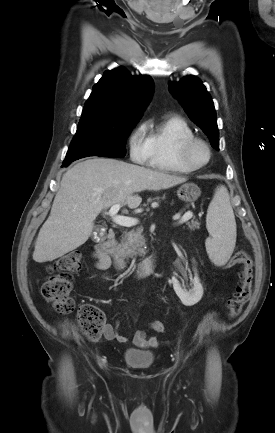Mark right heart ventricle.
<instances>
[{
    "label": "right heart ventricle",
    "instance_id": "right-heart-ventricle-1",
    "mask_svg": "<svg viewBox=\"0 0 275 433\" xmlns=\"http://www.w3.org/2000/svg\"><path fill=\"white\" fill-rule=\"evenodd\" d=\"M194 136L188 122L178 115H166L147 126L149 166L169 172L190 173L179 159L180 144Z\"/></svg>",
    "mask_w": 275,
    "mask_h": 433
}]
</instances>
